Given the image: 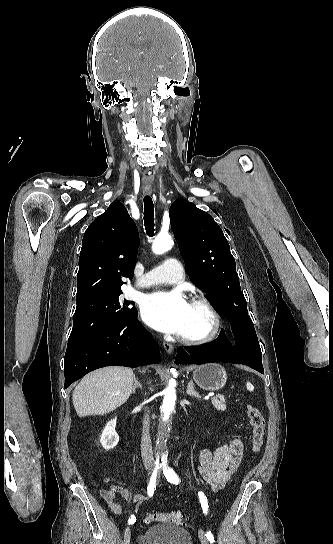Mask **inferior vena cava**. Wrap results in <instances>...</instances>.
I'll list each match as a JSON object with an SVG mask.
<instances>
[{"label": "inferior vena cava", "mask_w": 333, "mask_h": 544, "mask_svg": "<svg viewBox=\"0 0 333 544\" xmlns=\"http://www.w3.org/2000/svg\"><path fill=\"white\" fill-rule=\"evenodd\" d=\"M149 428H150V418L147 413L145 414L143 419V431H142V439H141V454H142L143 464L146 468L153 467L154 465L153 450H152Z\"/></svg>", "instance_id": "inferior-vena-cava-1"}]
</instances>
